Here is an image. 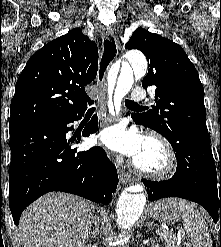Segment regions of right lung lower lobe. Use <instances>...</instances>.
Instances as JSON below:
<instances>
[{"label":"right lung lower lobe","instance_id":"obj_1","mask_svg":"<svg viewBox=\"0 0 221 247\" xmlns=\"http://www.w3.org/2000/svg\"><path fill=\"white\" fill-rule=\"evenodd\" d=\"M84 111L63 121L9 126V205L16 225L23 210L50 191L69 192L106 205L112 200L118 175L103 148L76 152L77 148L70 146L74 140L65 137L73 129L67 124L81 119ZM97 131L98 118L94 115L83 135Z\"/></svg>","mask_w":221,"mask_h":247}]
</instances>
